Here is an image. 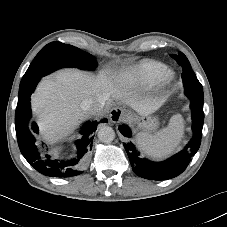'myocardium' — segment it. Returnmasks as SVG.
Returning <instances> with one entry per match:
<instances>
[{"instance_id":"myocardium-1","label":"myocardium","mask_w":227,"mask_h":227,"mask_svg":"<svg viewBox=\"0 0 227 227\" xmlns=\"http://www.w3.org/2000/svg\"><path fill=\"white\" fill-rule=\"evenodd\" d=\"M174 79V75L172 73H166L164 77L160 80L163 86L169 85Z\"/></svg>"}]
</instances>
